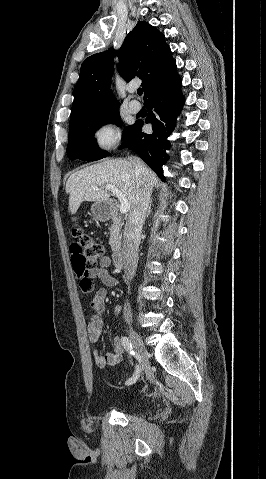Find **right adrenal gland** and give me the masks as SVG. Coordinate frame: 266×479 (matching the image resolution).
Instances as JSON below:
<instances>
[{
    "label": "right adrenal gland",
    "mask_w": 266,
    "mask_h": 479,
    "mask_svg": "<svg viewBox=\"0 0 266 479\" xmlns=\"http://www.w3.org/2000/svg\"><path fill=\"white\" fill-rule=\"evenodd\" d=\"M151 204H152V201L150 202V205L148 207V211H147V217L150 215L151 213Z\"/></svg>",
    "instance_id": "1"
}]
</instances>
